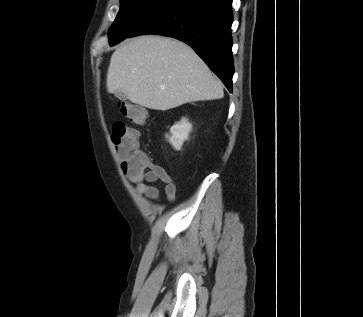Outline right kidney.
Segmentation results:
<instances>
[{
    "label": "right kidney",
    "instance_id": "obj_1",
    "mask_svg": "<svg viewBox=\"0 0 363 317\" xmlns=\"http://www.w3.org/2000/svg\"><path fill=\"white\" fill-rule=\"evenodd\" d=\"M191 130L192 125L186 118H182L180 122L170 128L171 136L166 135V138L176 150H180L184 141L188 139Z\"/></svg>",
    "mask_w": 363,
    "mask_h": 317
}]
</instances>
